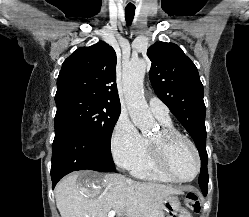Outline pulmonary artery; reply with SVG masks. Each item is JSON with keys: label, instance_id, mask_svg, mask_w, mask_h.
I'll use <instances>...</instances> for the list:
<instances>
[{"label": "pulmonary artery", "instance_id": "pulmonary-artery-1", "mask_svg": "<svg viewBox=\"0 0 249 217\" xmlns=\"http://www.w3.org/2000/svg\"><path fill=\"white\" fill-rule=\"evenodd\" d=\"M149 106L152 113L159 121H170L169 109L159 98L150 97Z\"/></svg>", "mask_w": 249, "mask_h": 217}]
</instances>
